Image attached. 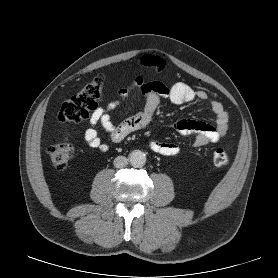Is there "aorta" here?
Listing matches in <instances>:
<instances>
[{"mask_svg":"<svg viewBox=\"0 0 278 278\" xmlns=\"http://www.w3.org/2000/svg\"><path fill=\"white\" fill-rule=\"evenodd\" d=\"M129 161L133 167L140 168L146 163V154L141 150H134L129 154Z\"/></svg>","mask_w":278,"mask_h":278,"instance_id":"762f6f07","label":"aorta"}]
</instances>
